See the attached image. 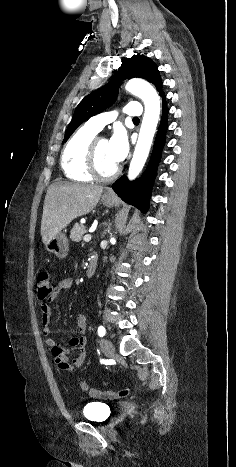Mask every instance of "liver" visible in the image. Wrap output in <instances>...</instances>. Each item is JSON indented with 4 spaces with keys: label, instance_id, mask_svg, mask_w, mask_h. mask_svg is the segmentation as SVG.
Returning a JSON list of instances; mask_svg holds the SVG:
<instances>
[{
    "label": "liver",
    "instance_id": "obj_1",
    "mask_svg": "<svg viewBox=\"0 0 236 467\" xmlns=\"http://www.w3.org/2000/svg\"><path fill=\"white\" fill-rule=\"evenodd\" d=\"M102 186L53 183L47 190L41 221L42 242L46 244L74 219L91 212L103 192Z\"/></svg>",
    "mask_w": 236,
    "mask_h": 467
}]
</instances>
